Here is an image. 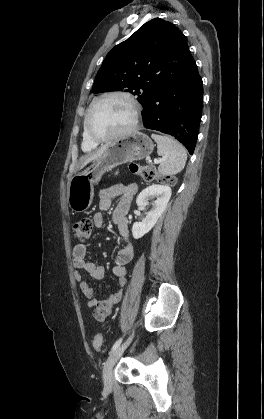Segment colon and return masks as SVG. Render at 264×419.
<instances>
[{"label":"colon","instance_id":"5ec220e1","mask_svg":"<svg viewBox=\"0 0 264 419\" xmlns=\"http://www.w3.org/2000/svg\"><path fill=\"white\" fill-rule=\"evenodd\" d=\"M130 170L139 175L145 181L157 180L162 184H174L175 179L170 176L158 174L156 168L152 165H141L133 163L130 165ZM93 223L89 218H82L73 225V236L80 242H85L89 239L92 231ZM102 335L97 333L92 340V346L96 351L102 348Z\"/></svg>","mask_w":264,"mask_h":419}]
</instances>
